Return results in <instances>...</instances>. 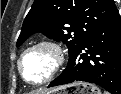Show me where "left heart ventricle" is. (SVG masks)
<instances>
[{"label":"left heart ventricle","mask_w":121,"mask_h":94,"mask_svg":"<svg viewBox=\"0 0 121 94\" xmlns=\"http://www.w3.org/2000/svg\"><path fill=\"white\" fill-rule=\"evenodd\" d=\"M50 67L51 57L45 50L29 53L22 62L24 76L32 82L43 79L48 74Z\"/></svg>","instance_id":"1"}]
</instances>
